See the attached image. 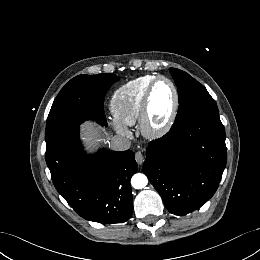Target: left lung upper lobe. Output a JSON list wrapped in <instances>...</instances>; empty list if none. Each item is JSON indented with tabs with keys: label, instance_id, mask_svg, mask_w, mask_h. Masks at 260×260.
Wrapping results in <instances>:
<instances>
[{
	"label": "left lung upper lobe",
	"instance_id": "5c2ea615",
	"mask_svg": "<svg viewBox=\"0 0 260 260\" xmlns=\"http://www.w3.org/2000/svg\"><path fill=\"white\" fill-rule=\"evenodd\" d=\"M170 73L178 87L179 94V108L173 126H177L199 113L218 112L214 99L203 85L179 69L170 68Z\"/></svg>",
	"mask_w": 260,
	"mask_h": 260
}]
</instances>
